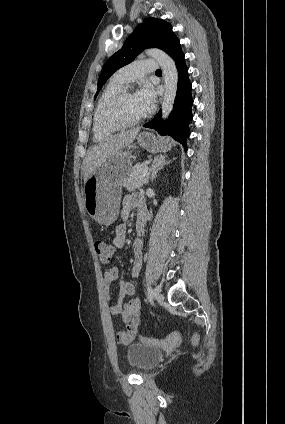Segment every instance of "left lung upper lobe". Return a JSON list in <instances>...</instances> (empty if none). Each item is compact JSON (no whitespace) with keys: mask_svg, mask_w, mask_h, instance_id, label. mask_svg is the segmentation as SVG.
Listing matches in <instances>:
<instances>
[{"mask_svg":"<svg viewBox=\"0 0 285 424\" xmlns=\"http://www.w3.org/2000/svg\"><path fill=\"white\" fill-rule=\"evenodd\" d=\"M177 39L171 25L165 20L152 17L145 19L135 28L121 49L105 62L98 79L95 98L110 76L121 67L131 63L145 48L156 47L168 53Z\"/></svg>","mask_w":285,"mask_h":424,"instance_id":"left-lung-upper-lobe-1","label":"left lung upper lobe"}]
</instances>
